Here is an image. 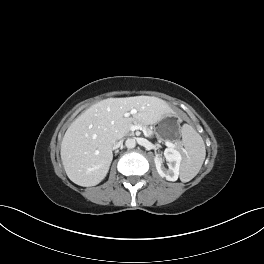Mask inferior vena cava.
Listing matches in <instances>:
<instances>
[{
    "label": "inferior vena cava",
    "instance_id": "602c4592",
    "mask_svg": "<svg viewBox=\"0 0 264 264\" xmlns=\"http://www.w3.org/2000/svg\"><path fill=\"white\" fill-rule=\"evenodd\" d=\"M122 145V140L121 139H118L114 142L113 144V149H117L119 148L120 146Z\"/></svg>",
    "mask_w": 264,
    "mask_h": 264
}]
</instances>
